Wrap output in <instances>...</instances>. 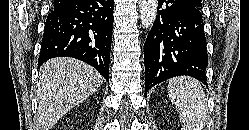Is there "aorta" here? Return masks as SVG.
<instances>
[{
    "label": "aorta",
    "mask_w": 249,
    "mask_h": 130,
    "mask_svg": "<svg viewBox=\"0 0 249 130\" xmlns=\"http://www.w3.org/2000/svg\"><path fill=\"white\" fill-rule=\"evenodd\" d=\"M157 0H139V10L142 27L150 29L157 15Z\"/></svg>",
    "instance_id": "1"
}]
</instances>
